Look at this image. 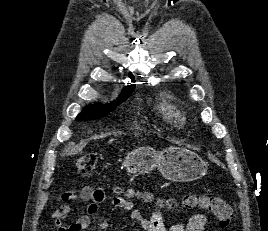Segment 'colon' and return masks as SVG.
Segmentation results:
<instances>
[{
	"label": "colon",
	"instance_id": "1",
	"mask_svg": "<svg viewBox=\"0 0 268 231\" xmlns=\"http://www.w3.org/2000/svg\"><path fill=\"white\" fill-rule=\"evenodd\" d=\"M96 164V157L86 154L76 159L75 168L81 176L86 177L94 172ZM181 204L188 210L200 209L213 214L218 219L222 229H228L231 226L233 220L232 208L217 196L188 193L181 199Z\"/></svg>",
	"mask_w": 268,
	"mask_h": 231
}]
</instances>
